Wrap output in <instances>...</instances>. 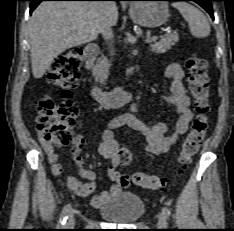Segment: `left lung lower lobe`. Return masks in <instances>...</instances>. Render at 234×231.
Returning a JSON list of instances; mask_svg holds the SVG:
<instances>
[{
    "label": "left lung lower lobe",
    "mask_w": 234,
    "mask_h": 231,
    "mask_svg": "<svg viewBox=\"0 0 234 231\" xmlns=\"http://www.w3.org/2000/svg\"><path fill=\"white\" fill-rule=\"evenodd\" d=\"M167 1H194L198 3L201 7H203L210 14L212 19H214L211 1L215 0H167Z\"/></svg>",
    "instance_id": "0a47b994"
}]
</instances>
